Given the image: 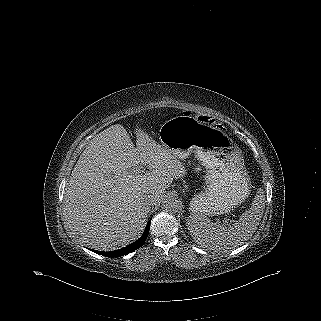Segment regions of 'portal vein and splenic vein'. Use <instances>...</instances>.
<instances>
[{"label":"portal vein and splenic vein","instance_id":"18ae733b","mask_svg":"<svg viewBox=\"0 0 321 321\" xmlns=\"http://www.w3.org/2000/svg\"><path fill=\"white\" fill-rule=\"evenodd\" d=\"M136 171H137L138 173H142V172L145 171V169H144L143 166H139V167L136 169Z\"/></svg>","mask_w":321,"mask_h":321}]
</instances>
